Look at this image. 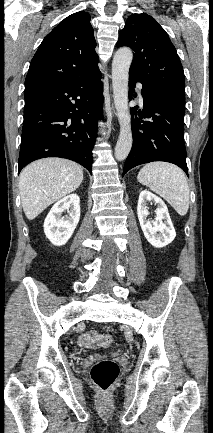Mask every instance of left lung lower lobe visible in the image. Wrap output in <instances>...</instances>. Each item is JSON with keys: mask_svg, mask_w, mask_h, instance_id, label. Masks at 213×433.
<instances>
[{"mask_svg": "<svg viewBox=\"0 0 213 433\" xmlns=\"http://www.w3.org/2000/svg\"><path fill=\"white\" fill-rule=\"evenodd\" d=\"M137 82L142 84L143 110L131 108L133 145L124 165L123 176L133 167L153 161L176 164L188 175L183 127L185 105L150 90L139 77L131 73L130 99Z\"/></svg>", "mask_w": 213, "mask_h": 433, "instance_id": "1", "label": "left lung lower lobe"}]
</instances>
